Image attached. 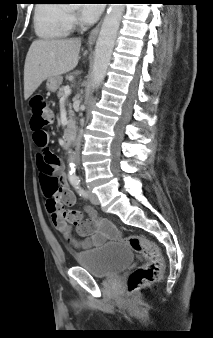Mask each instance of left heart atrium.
Here are the masks:
<instances>
[{
	"instance_id": "1",
	"label": "left heart atrium",
	"mask_w": 213,
	"mask_h": 338,
	"mask_svg": "<svg viewBox=\"0 0 213 338\" xmlns=\"http://www.w3.org/2000/svg\"><path fill=\"white\" fill-rule=\"evenodd\" d=\"M101 10V5L83 4L81 6V15L85 21L93 22L100 16Z\"/></svg>"
}]
</instances>
